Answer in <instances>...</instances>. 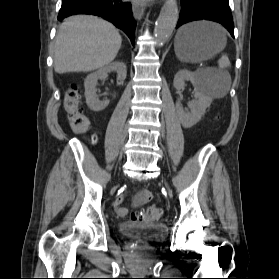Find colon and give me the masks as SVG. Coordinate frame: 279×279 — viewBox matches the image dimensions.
Returning <instances> with one entry per match:
<instances>
[{
    "label": "colon",
    "instance_id": "1",
    "mask_svg": "<svg viewBox=\"0 0 279 279\" xmlns=\"http://www.w3.org/2000/svg\"><path fill=\"white\" fill-rule=\"evenodd\" d=\"M82 92L77 84H71L66 92L64 98V109L71 129L77 134H86L90 128V120L85 115L81 107ZM90 140L94 142L95 137ZM162 217V210L160 208L150 206L140 212L133 213L131 220L144 221H158Z\"/></svg>",
    "mask_w": 279,
    "mask_h": 279
}]
</instances>
